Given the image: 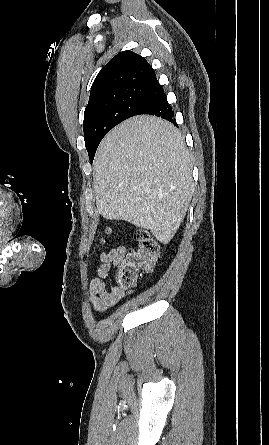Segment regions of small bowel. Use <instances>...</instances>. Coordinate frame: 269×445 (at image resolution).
Listing matches in <instances>:
<instances>
[{"mask_svg":"<svg viewBox=\"0 0 269 445\" xmlns=\"http://www.w3.org/2000/svg\"><path fill=\"white\" fill-rule=\"evenodd\" d=\"M127 250L118 246L100 254V264L97 267V277L90 283L89 296L94 311L103 313L114 306L123 296L120 289L108 287L105 280L113 266H117L126 256Z\"/></svg>","mask_w":269,"mask_h":445,"instance_id":"1","label":"small bowel"}]
</instances>
